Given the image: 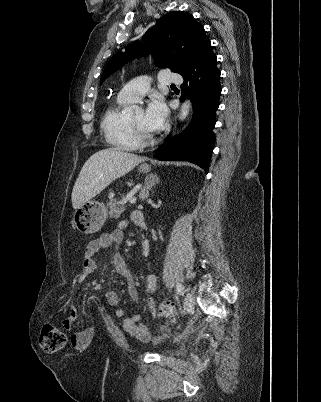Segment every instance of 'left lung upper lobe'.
<instances>
[{
	"instance_id": "1",
	"label": "left lung upper lobe",
	"mask_w": 321,
	"mask_h": 402,
	"mask_svg": "<svg viewBox=\"0 0 321 402\" xmlns=\"http://www.w3.org/2000/svg\"><path fill=\"white\" fill-rule=\"evenodd\" d=\"M150 40L146 46L131 43L124 52H117L106 65L100 79L102 83L124 63L135 56L154 54L160 68H170L181 74L201 46L208 41L203 26L189 13L176 11L166 14L143 36Z\"/></svg>"
}]
</instances>
